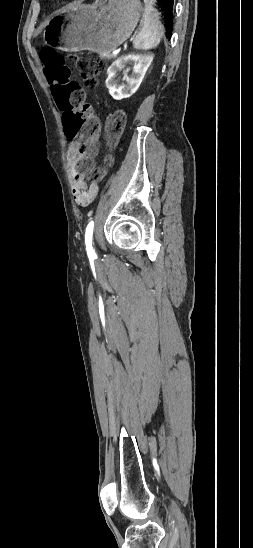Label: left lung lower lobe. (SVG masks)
Here are the masks:
<instances>
[{
	"label": "left lung lower lobe",
	"mask_w": 253,
	"mask_h": 548,
	"mask_svg": "<svg viewBox=\"0 0 253 548\" xmlns=\"http://www.w3.org/2000/svg\"><path fill=\"white\" fill-rule=\"evenodd\" d=\"M161 7L162 11L165 14L166 21L165 24L169 28V37L171 36L172 27H173V7H174V0H157Z\"/></svg>",
	"instance_id": "obj_1"
}]
</instances>
